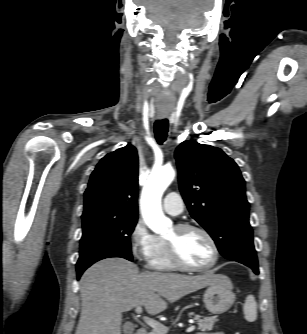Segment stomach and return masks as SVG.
Masks as SVG:
<instances>
[{"label": "stomach", "mask_w": 307, "mask_h": 334, "mask_svg": "<svg viewBox=\"0 0 307 334\" xmlns=\"http://www.w3.org/2000/svg\"><path fill=\"white\" fill-rule=\"evenodd\" d=\"M216 281L206 289L203 301L207 310L215 315L228 311L235 302L231 280L223 274H215Z\"/></svg>", "instance_id": "stomach-1"}]
</instances>
